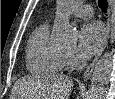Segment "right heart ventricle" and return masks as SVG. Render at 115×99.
Returning <instances> with one entry per match:
<instances>
[{
	"mask_svg": "<svg viewBox=\"0 0 115 99\" xmlns=\"http://www.w3.org/2000/svg\"><path fill=\"white\" fill-rule=\"evenodd\" d=\"M65 53L49 40V26L40 25L31 34L26 48V66L30 73L50 76L59 73L65 65Z\"/></svg>",
	"mask_w": 115,
	"mask_h": 99,
	"instance_id": "1",
	"label": "right heart ventricle"
}]
</instances>
